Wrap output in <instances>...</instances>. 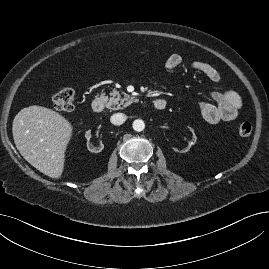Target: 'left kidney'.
Listing matches in <instances>:
<instances>
[{"label": "left kidney", "instance_id": "5707ae66", "mask_svg": "<svg viewBox=\"0 0 269 269\" xmlns=\"http://www.w3.org/2000/svg\"><path fill=\"white\" fill-rule=\"evenodd\" d=\"M189 131L192 133V139L188 142V147L185 149H182L181 147L173 148L174 151L180 152L181 154H184L186 151L190 149L192 145H194L197 141V137L194 133V130L192 128H189Z\"/></svg>", "mask_w": 269, "mask_h": 269}]
</instances>
